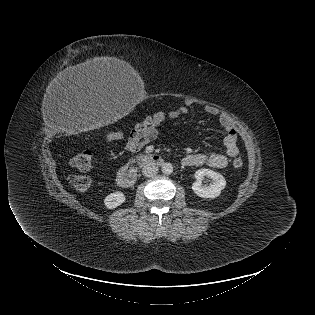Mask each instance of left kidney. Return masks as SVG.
<instances>
[{
  "label": "left kidney",
  "instance_id": "left-kidney-1",
  "mask_svg": "<svg viewBox=\"0 0 315 315\" xmlns=\"http://www.w3.org/2000/svg\"><path fill=\"white\" fill-rule=\"evenodd\" d=\"M207 176L212 179V184L203 186L202 180ZM196 181L192 184L193 192L202 198H216L220 195L221 190L225 188V178L220 174L210 169H199L195 173Z\"/></svg>",
  "mask_w": 315,
  "mask_h": 315
}]
</instances>
